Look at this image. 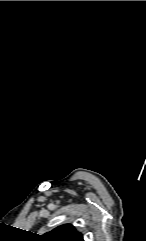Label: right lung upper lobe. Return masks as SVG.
I'll return each mask as SVG.
<instances>
[{"label": "right lung upper lobe", "mask_w": 146, "mask_h": 241, "mask_svg": "<svg viewBox=\"0 0 146 241\" xmlns=\"http://www.w3.org/2000/svg\"><path fill=\"white\" fill-rule=\"evenodd\" d=\"M40 241H84L83 235L71 224L58 226L52 231L41 235Z\"/></svg>", "instance_id": "cb5924a9"}]
</instances>
